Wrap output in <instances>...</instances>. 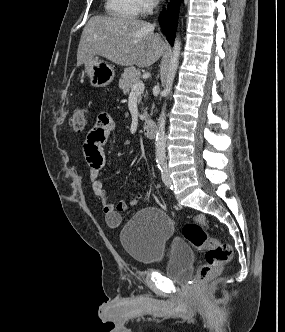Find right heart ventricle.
I'll return each instance as SVG.
<instances>
[{"label":"right heart ventricle","mask_w":285,"mask_h":332,"mask_svg":"<svg viewBox=\"0 0 285 332\" xmlns=\"http://www.w3.org/2000/svg\"><path fill=\"white\" fill-rule=\"evenodd\" d=\"M105 10L120 19H134L139 13L136 0H105Z\"/></svg>","instance_id":"1"}]
</instances>
